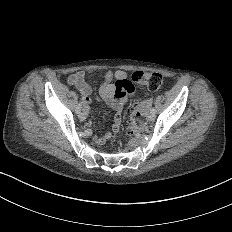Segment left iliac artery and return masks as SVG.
<instances>
[{
	"instance_id": "obj_1",
	"label": "left iliac artery",
	"mask_w": 232,
	"mask_h": 232,
	"mask_svg": "<svg viewBox=\"0 0 232 232\" xmlns=\"http://www.w3.org/2000/svg\"><path fill=\"white\" fill-rule=\"evenodd\" d=\"M151 113H152V114H155V113H156V109H155V108H152V109H151Z\"/></svg>"
}]
</instances>
